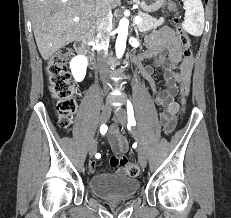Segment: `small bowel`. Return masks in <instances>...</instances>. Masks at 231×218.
I'll list each match as a JSON object with an SVG mask.
<instances>
[{"mask_svg":"<svg viewBox=\"0 0 231 218\" xmlns=\"http://www.w3.org/2000/svg\"><path fill=\"white\" fill-rule=\"evenodd\" d=\"M147 50L140 56L150 58L151 63L142 68V75L151 87L155 104L163 107L160 121L165 133H171L176 125V114L179 104L175 101L178 92V84L184 80H190L193 58L185 56L182 52L173 30L164 27L147 38ZM157 69H164L163 83L165 87L158 90L153 78ZM109 143L115 153L110 159V165L117 175L126 173L121 165L126 160L125 153L128 150L127 141L120 135L117 128H112L108 134ZM95 161L89 163L90 172H96Z\"/></svg>","mask_w":231,"mask_h":218,"instance_id":"obj_1","label":"small bowel"}]
</instances>
